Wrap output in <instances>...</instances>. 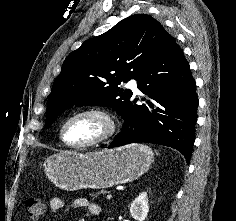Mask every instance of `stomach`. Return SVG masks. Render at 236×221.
Returning a JSON list of instances; mask_svg holds the SVG:
<instances>
[{"mask_svg": "<svg viewBox=\"0 0 236 221\" xmlns=\"http://www.w3.org/2000/svg\"><path fill=\"white\" fill-rule=\"evenodd\" d=\"M153 157L144 144L88 153L64 151L47 158L44 171L62 190L104 189L139 178L149 169Z\"/></svg>", "mask_w": 236, "mask_h": 221, "instance_id": "0dacf381", "label": "stomach"}]
</instances>
